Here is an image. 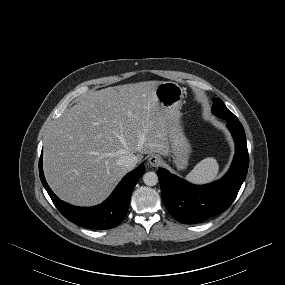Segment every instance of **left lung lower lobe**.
<instances>
[{"label": "left lung lower lobe", "instance_id": "left-lung-lower-lobe-1", "mask_svg": "<svg viewBox=\"0 0 285 285\" xmlns=\"http://www.w3.org/2000/svg\"><path fill=\"white\" fill-rule=\"evenodd\" d=\"M235 141V156L229 171L214 183L197 186L171 174L157 171L163 202L179 222L194 224L205 221L229 208L246 178L249 155L245 131L239 121L227 120Z\"/></svg>", "mask_w": 285, "mask_h": 285}]
</instances>
